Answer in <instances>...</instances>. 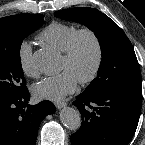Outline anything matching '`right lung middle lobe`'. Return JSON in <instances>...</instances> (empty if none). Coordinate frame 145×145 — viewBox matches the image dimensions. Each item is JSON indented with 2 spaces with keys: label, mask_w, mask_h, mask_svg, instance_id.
Masks as SVG:
<instances>
[{
  "label": "right lung middle lobe",
  "mask_w": 145,
  "mask_h": 145,
  "mask_svg": "<svg viewBox=\"0 0 145 145\" xmlns=\"http://www.w3.org/2000/svg\"><path fill=\"white\" fill-rule=\"evenodd\" d=\"M41 14H18L0 22V96H16L27 90L20 61L21 44L44 24Z\"/></svg>",
  "instance_id": "1"
}]
</instances>
